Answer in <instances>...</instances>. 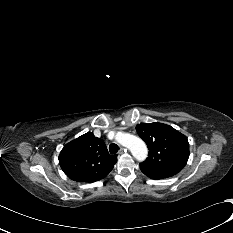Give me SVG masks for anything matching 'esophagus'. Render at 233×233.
Here are the masks:
<instances>
[{"mask_svg":"<svg viewBox=\"0 0 233 233\" xmlns=\"http://www.w3.org/2000/svg\"><path fill=\"white\" fill-rule=\"evenodd\" d=\"M125 152H127V149L126 148H120V150H119V154L120 155H122V154H124Z\"/></svg>","mask_w":233,"mask_h":233,"instance_id":"34e87169","label":"esophagus"}]
</instances>
